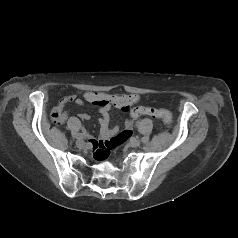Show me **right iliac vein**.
Listing matches in <instances>:
<instances>
[{
    "mask_svg": "<svg viewBox=\"0 0 238 238\" xmlns=\"http://www.w3.org/2000/svg\"><path fill=\"white\" fill-rule=\"evenodd\" d=\"M76 145L78 148H84L85 147V141L82 139H79L76 141Z\"/></svg>",
    "mask_w": 238,
    "mask_h": 238,
    "instance_id": "right-iliac-vein-1",
    "label": "right iliac vein"
}]
</instances>
